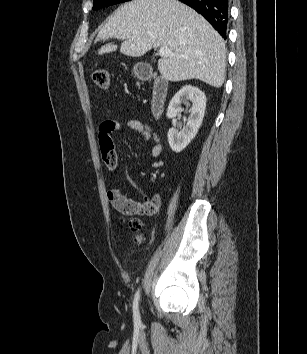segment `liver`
<instances>
[{
    "label": "liver",
    "mask_w": 307,
    "mask_h": 354,
    "mask_svg": "<svg viewBox=\"0 0 307 354\" xmlns=\"http://www.w3.org/2000/svg\"><path fill=\"white\" fill-rule=\"evenodd\" d=\"M123 39L120 52L141 57L152 48L168 47L175 56L158 60L169 81L199 79L213 87L224 82L226 49L219 33L196 11L177 0H132L111 16L96 40ZM107 44L98 54L117 50Z\"/></svg>",
    "instance_id": "liver-1"
}]
</instances>
